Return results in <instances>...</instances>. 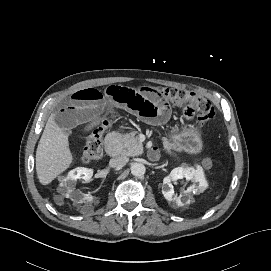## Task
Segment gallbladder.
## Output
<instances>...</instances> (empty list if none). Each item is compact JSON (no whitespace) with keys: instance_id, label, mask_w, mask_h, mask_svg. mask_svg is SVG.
<instances>
[{"instance_id":"bac80fb5","label":"gallbladder","mask_w":271,"mask_h":271,"mask_svg":"<svg viewBox=\"0 0 271 271\" xmlns=\"http://www.w3.org/2000/svg\"><path fill=\"white\" fill-rule=\"evenodd\" d=\"M65 133L68 134V135H70V134H71V131H70L69 129H67V130L65 131Z\"/></svg>"}]
</instances>
